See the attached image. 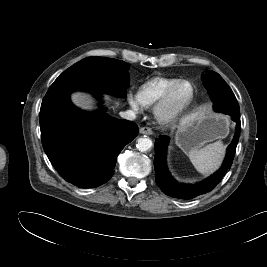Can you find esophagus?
<instances>
[{
	"label": "esophagus",
	"instance_id": "obj_1",
	"mask_svg": "<svg viewBox=\"0 0 267 267\" xmlns=\"http://www.w3.org/2000/svg\"><path fill=\"white\" fill-rule=\"evenodd\" d=\"M139 132L144 135H151L153 133L152 129L149 127H141Z\"/></svg>",
	"mask_w": 267,
	"mask_h": 267
}]
</instances>
